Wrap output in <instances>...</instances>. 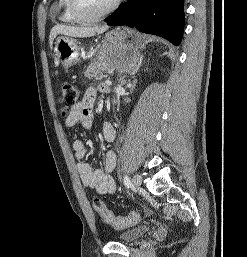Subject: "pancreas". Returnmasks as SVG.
<instances>
[{
  "mask_svg": "<svg viewBox=\"0 0 247 257\" xmlns=\"http://www.w3.org/2000/svg\"><path fill=\"white\" fill-rule=\"evenodd\" d=\"M110 68H113L111 64H107L104 61H94L88 66L84 75L89 79L101 80L106 77L104 72Z\"/></svg>",
  "mask_w": 247,
  "mask_h": 257,
  "instance_id": "pancreas-1",
  "label": "pancreas"
}]
</instances>
